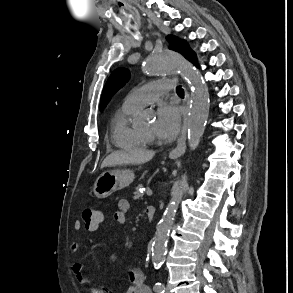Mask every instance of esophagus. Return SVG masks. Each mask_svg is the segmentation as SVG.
<instances>
[{"label": "esophagus", "instance_id": "obj_1", "mask_svg": "<svg viewBox=\"0 0 293 293\" xmlns=\"http://www.w3.org/2000/svg\"><path fill=\"white\" fill-rule=\"evenodd\" d=\"M187 128V116L184 119L183 129L180 138L178 139L177 146L170 151V156L177 157L182 155L185 152L186 144H185V133Z\"/></svg>", "mask_w": 293, "mask_h": 293}]
</instances>
